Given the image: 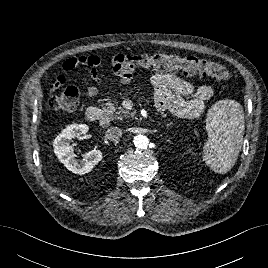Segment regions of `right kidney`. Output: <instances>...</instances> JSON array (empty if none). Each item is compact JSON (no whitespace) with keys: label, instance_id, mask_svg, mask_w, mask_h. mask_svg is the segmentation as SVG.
Segmentation results:
<instances>
[{"label":"right kidney","instance_id":"obj_1","mask_svg":"<svg viewBox=\"0 0 268 268\" xmlns=\"http://www.w3.org/2000/svg\"><path fill=\"white\" fill-rule=\"evenodd\" d=\"M89 127L86 124H72L67 126L54 140V153L64 166L75 174H86L92 171L103 158L100 150H91L84 155L83 160L75 159L70 141L86 134Z\"/></svg>","mask_w":268,"mask_h":268}]
</instances>
